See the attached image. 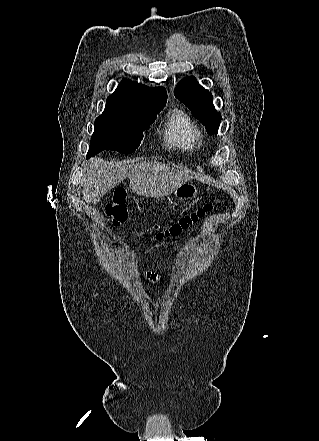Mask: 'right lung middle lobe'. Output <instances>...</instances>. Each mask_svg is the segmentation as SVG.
Returning a JSON list of instances; mask_svg holds the SVG:
<instances>
[{"instance_id": "right-lung-middle-lobe-1", "label": "right lung middle lobe", "mask_w": 319, "mask_h": 441, "mask_svg": "<svg viewBox=\"0 0 319 441\" xmlns=\"http://www.w3.org/2000/svg\"><path fill=\"white\" fill-rule=\"evenodd\" d=\"M164 106L104 110L94 122L87 158L103 150L132 153L140 145L143 132L149 129Z\"/></svg>"}]
</instances>
